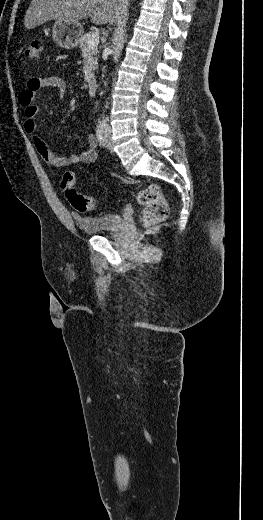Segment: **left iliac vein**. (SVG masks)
Listing matches in <instances>:
<instances>
[{"instance_id":"4c4485c4","label":"left iliac vein","mask_w":263,"mask_h":520,"mask_svg":"<svg viewBox=\"0 0 263 520\" xmlns=\"http://www.w3.org/2000/svg\"><path fill=\"white\" fill-rule=\"evenodd\" d=\"M105 145H106L107 149L112 150V144H111V140H110V132L107 129L105 130Z\"/></svg>"}]
</instances>
